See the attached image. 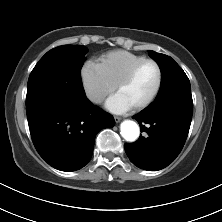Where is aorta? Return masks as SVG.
I'll list each match as a JSON object with an SVG mask.
<instances>
[{"instance_id":"1","label":"aorta","mask_w":222,"mask_h":222,"mask_svg":"<svg viewBox=\"0 0 222 222\" xmlns=\"http://www.w3.org/2000/svg\"><path fill=\"white\" fill-rule=\"evenodd\" d=\"M121 136L128 142H134L140 135V128L136 122L125 120L120 125Z\"/></svg>"}]
</instances>
